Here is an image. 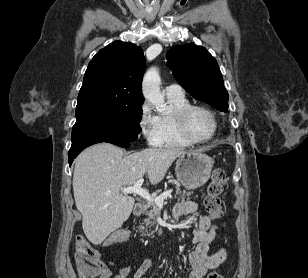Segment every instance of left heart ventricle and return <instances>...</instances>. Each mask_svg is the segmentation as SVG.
Here are the masks:
<instances>
[{
	"instance_id": "b2bd125f",
	"label": "left heart ventricle",
	"mask_w": 308,
	"mask_h": 278,
	"mask_svg": "<svg viewBox=\"0 0 308 278\" xmlns=\"http://www.w3.org/2000/svg\"><path fill=\"white\" fill-rule=\"evenodd\" d=\"M189 133L197 139H205L213 130L211 117L203 110L195 109L189 113L186 119Z\"/></svg>"
}]
</instances>
